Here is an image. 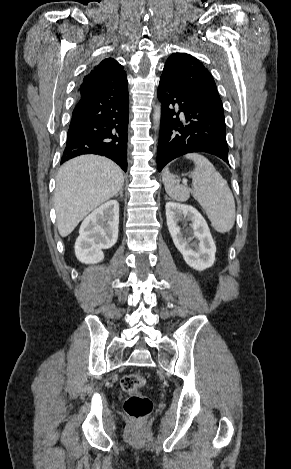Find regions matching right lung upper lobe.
Returning a JSON list of instances; mask_svg holds the SVG:
<instances>
[{"mask_svg":"<svg viewBox=\"0 0 291 469\" xmlns=\"http://www.w3.org/2000/svg\"><path fill=\"white\" fill-rule=\"evenodd\" d=\"M127 76L123 66L107 58L95 66L82 80L78 96L82 97L100 90L126 91Z\"/></svg>","mask_w":291,"mask_h":469,"instance_id":"1","label":"right lung upper lobe"}]
</instances>
